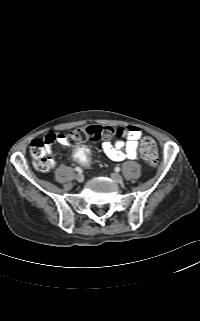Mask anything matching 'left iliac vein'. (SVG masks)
Wrapping results in <instances>:
<instances>
[{"mask_svg":"<svg viewBox=\"0 0 200 321\" xmlns=\"http://www.w3.org/2000/svg\"><path fill=\"white\" fill-rule=\"evenodd\" d=\"M111 177L118 183H123V177L118 173H112Z\"/></svg>","mask_w":200,"mask_h":321,"instance_id":"obj_1","label":"left iliac vein"}]
</instances>
